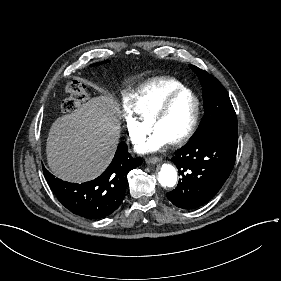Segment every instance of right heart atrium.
<instances>
[{"mask_svg": "<svg viewBox=\"0 0 281 281\" xmlns=\"http://www.w3.org/2000/svg\"><path fill=\"white\" fill-rule=\"evenodd\" d=\"M122 119L127 133V139L133 144H139L145 137L146 129L139 122L133 109L125 103L123 106Z\"/></svg>", "mask_w": 281, "mask_h": 281, "instance_id": "right-heart-atrium-1", "label": "right heart atrium"}]
</instances>
